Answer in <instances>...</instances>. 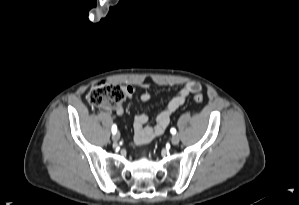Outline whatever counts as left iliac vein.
<instances>
[{
  "label": "left iliac vein",
  "instance_id": "obj_1",
  "mask_svg": "<svg viewBox=\"0 0 299 205\" xmlns=\"http://www.w3.org/2000/svg\"><path fill=\"white\" fill-rule=\"evenodd\" d=\"M179 141H180V137H179V135H178V134H174V135L172 136V138H171V143H172L173 145H177V144L179 143Z\"/></svg>",
  "mask_w": 299,
  "mask_h": 205
}]
</instances>
